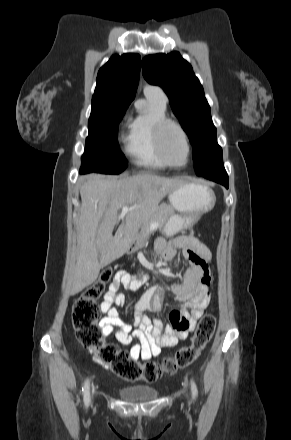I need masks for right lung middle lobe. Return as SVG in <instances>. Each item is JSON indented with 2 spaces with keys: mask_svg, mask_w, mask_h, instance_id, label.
<instances>
[{
  "mask_svg": "<svg viewBox=\"0 0 291 440\" xmlns=\"http://www.w3.org/2000/svg\"><path fill=\"white\" fill-rule=\"evenodd\" d=\"M127 108L117 104L92 106L80 173L118 174L126 169V158L119 150L117 132Z\"/></svg>",
  "mask_w": 291,
  "mask_h": 440,
  "instance_id": "obj_1",
  "label": "right lung middle lobe"
}]
</instances>
